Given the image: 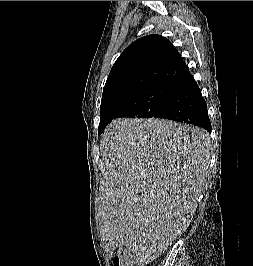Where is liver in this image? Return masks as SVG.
<instances>
[{
    "mask_svg": "<svg viewBox=\"0 0 253 266\" xmlns=\"http://www.w3.org/2000/svg\"><path fill=\"white\" fill-rule=\"evenodd\" d=\"M106 181L101 234L137 262L156 258L189 226L206 182L209 135L165 119L120 118L101 137Z\"/></svg>",
    "mask_w": 253,
    "mask_h": 266,
    "instance_id": "obj_1",
    "label": "liver"
}]
</instances>
